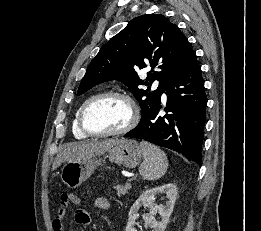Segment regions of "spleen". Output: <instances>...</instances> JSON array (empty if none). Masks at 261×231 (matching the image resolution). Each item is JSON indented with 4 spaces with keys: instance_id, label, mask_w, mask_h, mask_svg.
Here are the masks:
<instances>
[{
    "instance_id": "spleen-1",
    "label": "spleen",
    "mask_w": 261,
    "mask_h": 231,
    "mask_svg": "<svg viewBox=\"0 0 261 231\" xmlns=\"http://www.w3.org/2000/svg\"><path fill=\"white\" fill-rule=\"evenodd\" d=\"M143 153V163L139 168V173L145 180H157L167 171L168 160L166 154L157 146L148 142L140 143Z\"/></svg>"
}]
</instances>
